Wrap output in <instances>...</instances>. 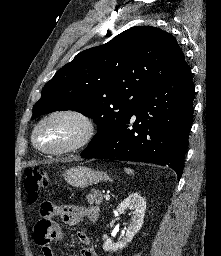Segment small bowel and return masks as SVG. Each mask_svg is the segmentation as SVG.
I'll use <instances>...</instances> for the list:
<instances>
[{
	"label": "small bowel",
	"mask_w": 221,
	"mask_h": 256,
	"mask_svg": "<svg viewBox=\"0 0 221 256\" xmlns=\"http://www.w3.org/2000/svg\"><path fill=\"white\" fill-rule=\"evenodd\" d=\"M99 210L96 206H74L58 205L52 202H43L40 206L41 218L34 227L35 243L41 248L43 256H54L52 243L63 240V231L61 227L53 220L59 217L69 226L76 225L83 220L95 222L98 218ZM79 241L86 247L78 255L74 256H98L97 252L90 247V238L84 231H78Z\"/></svg>",
	"instance_id": "c3829d8e"
}]
</instances>
